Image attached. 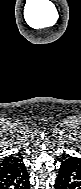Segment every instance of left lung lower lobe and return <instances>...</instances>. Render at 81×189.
I'll return each mask as SVG.
<instances>
[{"label":"left lung lower lobe","instance_id":"0a47b994","mask_svg":"<svg viewBox=\"0 0 81 189\" xmlns=\"http://www.w3.org/2000/svg\"><path fill=\"white\" fill-rule=\"evenodd\" d=\"M56 189H81V160L68 157L59 168Z\"/></svg>","mask_w":81,"mask_h":189}]
</instances>
